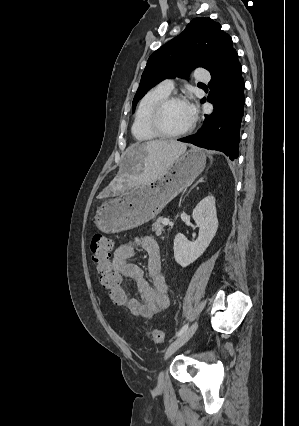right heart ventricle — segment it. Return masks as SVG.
Instances as JSON below:
<instances>
[{
	"label": "right heart ventricle",
	"mask_w": 299,
	"mask_h": 426,
	"mask_svg": "<svg viewBox=\"0 0 299 426\" xmlns=\"http://www.w3.org/2000/svg\"><path fill=\"white\" fill-rule=\"evenodd\" d=\"M169 94V91L158 85L142 97L137 106L132 125V134L136 140L148 142L159 138L151 129L149 119L155 105Z\"/></svg>",
	"instance_id": "right-heart-ventricle-1"
}]
</instances>
